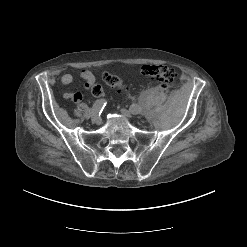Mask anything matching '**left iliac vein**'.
Wrapping results in <instances>:
<instances>
[{"label":"left iliac vein","instance_id":"4c4485c4","mask_svg":"<svg viewBox=\"0 0 247 247\" xmlns=\"http://www.w3.org/2000/svg\"><path fill=\"white\" fill-rule=\"evenodd\" d=\"M121 113H122L124 116L128 117V118L131 117L130 110H127V109H125V108H122V109H121Z\"/></svg>","mask_w":247,"mask_h":247}]
</instances>
